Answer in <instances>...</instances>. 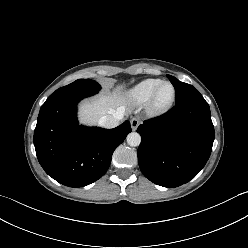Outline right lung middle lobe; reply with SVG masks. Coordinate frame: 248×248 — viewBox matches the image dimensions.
<instances>
[{
  "label": "right lung middle lobe",
  "instance_id": "1",
  "mask_svg": "<svg viewBox=\"0 0 248 248\" xmlns=\"http://www.w3.org/2000/svg\"><path fill=\"white\" fill-rule=\"evenodd\" d=\"M101 89L100 85L95 82L94 80L90 79H78L73 83L61 87L56 91H63V90H83V91H92L97 93Z\"/></svg>",
  "mask_w": 248,
  "mask_h": 248
}]
</instances>
